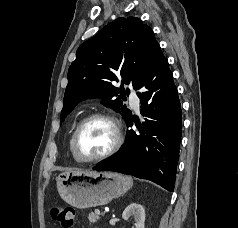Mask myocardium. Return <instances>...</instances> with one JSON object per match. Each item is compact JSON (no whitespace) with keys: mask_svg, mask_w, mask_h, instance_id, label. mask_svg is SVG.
<instances>
[{"mask_svg":"<svg viewBox=\"0 0 238 228\" xmlns=\"http://www.w3.org/2000/svg\"><path fill=\"white\" fill-rule=\"evenodd\" d=\"M95 119H102V120L109 122L111 124V126L113 127L115 139H114L112 146L103 154L93 157V158H82L79 156L78 150H77L78 137L80 135V132L84 128V126L87 123H89ZM122 142H123L122 132H121L120 125H119L118 121L116 120V118L114 116H112L111 114H108L105 112H94V113H91V114L85 116L76 126L74 133H73V137H72V146H71L72 154L78 162L95 163V162H99L104 159H107L108 157H110L114 153H116L119 150V148L121 147Z\"/></svg>","mask_w":238,"mask_h":228,"instance_id":"1","label":"myocardium"}]
</instances>
